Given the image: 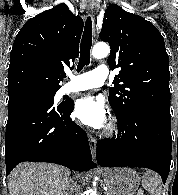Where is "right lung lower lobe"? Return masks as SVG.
I'll list each match as a JSON object with an SVG mask.
<instances>
[{
    "instance_id": "obj_1",
    "label": "right lung lower lobe",
    "mask_w": 178,
    "mask_h": 195,
    "mask_svg": "<svg viewBox=\"0 0 178 195\" xmlns=\"http://www.w3.org/2000/svg\"><path fill=\"white\" fill-rule=\"evenodd\" d=\"M73 102L17 99L8 103L6 175L24 161L51 162L74 171H86L92 161L85 131L70 118Z\"/></svg>"
}]
</instances>
